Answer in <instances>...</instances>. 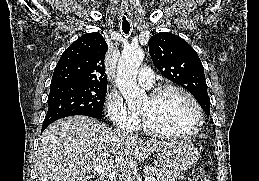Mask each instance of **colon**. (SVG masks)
<instances>
[{
	"label": "colon",
	"mask_w": 259,
	"mask_h": 181,
	"mask_svg": "<svg viewBox=\"0 0 259 181\" xmlns=\"http://www.w3.org/2000/svg\"><path fill=\"white\" fill-rule=\"evenodd\" d=\"M190 181H207L206 174L202 168H195L193 169Z\"/></svg>",
	"instance_id": "5ec220e1"
}]
</instances>
